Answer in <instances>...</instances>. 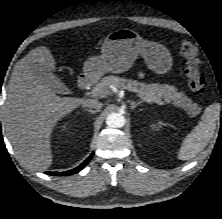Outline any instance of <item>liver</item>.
Listing matches in <instances>:
<instances>
[{
    "mask_svg": "<svg viewBox=\"0 0 222 219\" xmlns=\"http://www.w3.org/2000/svg\"><path fill=\"white\" fill-rule=\"evenodd\" d=\"M36 66L56 71V60L47 47L31 50L15 64L4 105V126L17 158L43 170L52 164L54 126L86 100L56 95L35 75Z\"/></svg>",
    "mask_w": 222,
    "mask_h": 219,
    "instance_id": "6515ba94",
    "label": "liver"
}]
</instances>
